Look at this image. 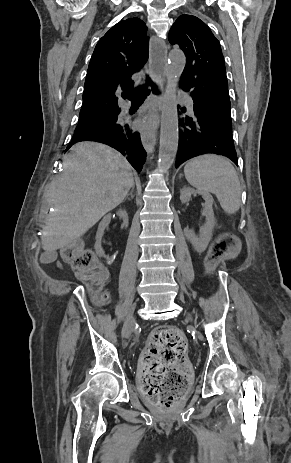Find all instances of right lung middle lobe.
Here are the masks:
<instances>
[{
  "mask_svg": "<svg viewBox=\"0 0 291 463\" xmlns=\"http://www.w3.org/2000/svg\"><path fill=\"white\" fill-rule=\"evenodd\" d=\"M116 118L117 112L103 114L101 116L90 119H79L75 132L86 130L100 124L108 123L110 121L116 120Z\"/></svg>",
  "mask_w": 291,
  "mask_h": 463,
  "instance_id": "dd1d6c3e",
  "label": "right lung middle lobe"
}]
</instances>
